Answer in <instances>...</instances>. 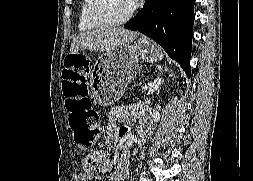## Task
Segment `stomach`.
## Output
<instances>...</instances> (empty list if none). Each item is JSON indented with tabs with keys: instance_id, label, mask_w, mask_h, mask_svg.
<instances>
[{
	"instance_id": "obj_1",
	"label": "stomach",
	"mask_w": 253,
	"mask_h": 181,
	"mask_svg": "<svg viewBox=\"0 0 253 181\" xmlns=\"http://www.w3.org/2000/svg\"><path fill=\"white\" fill-rule=\"evenodd\" d=\"M139 58L149 62L162 60L163 53L146 37L133 44H122L103 53L96 61L92 87L98 104L111 106L123 95L128 83L139 71Z\"/></svg>"
}]
</instances>
